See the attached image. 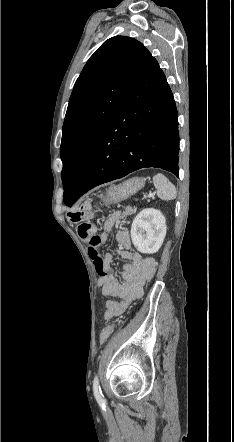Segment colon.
<instances>
[{
	"mask_svg": "<svg viewBox=\"0 0 234 442\" xmlns=\"http://www.w3.org/2000/svg\"><path fill=\"white\" fill-rule=\"evenodd\" d=\"M79 236L90 244L93 248L99 243V236L96 233V228L91 223H82L78 226ZM114 324L107 325L103 328L100 334V341L102 343L106 342L114 330Z\"/></svg>",
	"mask_w": 234,
	"mask_h": 442,
	"instance_id": "5ec220e1",
	"label": "colon"
}]
</instances>
